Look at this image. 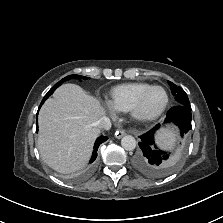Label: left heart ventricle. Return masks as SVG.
Masks as SVG:
<instances>
[{
  "instance_id": "obj_1",
  "label": "left heart ventricle",
  "mask_w": 223,
  "mask_h": 223,
  "mask_svg": "<svg viewBox=\"0 0 223 223\" xmlns=\"http://www.w3.org/2000/svg\"><path fill=\"white\" fill-rule=\"evenodd\" d=\"M165 102V93L161 89L153 90L146 98L142 112L145 115L156 113Z\"/></svg>"
}]
</instances>
